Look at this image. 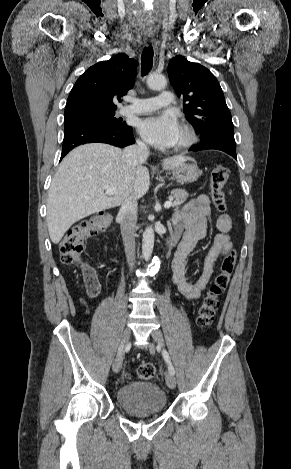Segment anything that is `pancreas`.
<instances>
[{
  "mask_svg": "<svg viewBox=\"0 0 291 469\" xmlns=\"http://www.w3.org/2000/svg\"><path fill=\"white\" fill-rule=\"evenodd\" d=\"M171 196L174 198L173 206L177 207L186 201L189 194L184 189H174L171 191Z\"/></svg>",
  "mask_w": 291,
  "mask_h": 469,
  "instance_id": "pancreas-1",
  "label": "pancreas"
}]
</instances>
